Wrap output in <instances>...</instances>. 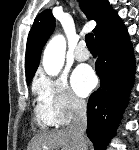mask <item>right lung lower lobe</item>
Instances as JSON below:
<instances>
[{"instance_id":"1","label":"right lung lower lobe","mask_w":139,"mask_h":150,"mask_svg":"<svg viewBox=\"0 0 139 150\" xmlns=\"http://www.w3.org/2000/svg\"><path fill=\"white\" fill-rule=\"evenodd\" d=\"M100 88L87 105V136L95 150H105L115 133L133 84L135 62L128 32L115 14L96 36Z\"/></svg>"}]
</instances>
